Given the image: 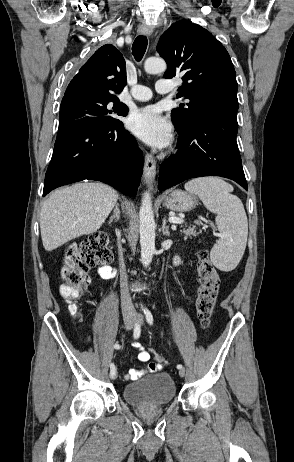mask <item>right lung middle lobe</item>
Instances as JSON below:
<instances>
[{
  "instance_id": "obj_1",
  "label": "right lung middle lobe",
  "mask_w": 294,
  "mask_h": 462,
  "mask_svg": "<svg viewBox=\"0 0 294 462\" xmlns=\"http://www.w3.org/2000/svg\"><path fill=\"white\" fill-rule=\"evenodd\" d=\"M114 114H127L117 97L77 94L62 99L58 132L81 126H98L118 121Z\"/></svg>"
}]
</instances>
